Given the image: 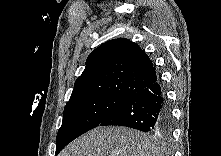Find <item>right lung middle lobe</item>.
<instances>
[{"mask_svg":"<svg viewBox=\"0 0 221 156\" xmlns=\"http://www.w3.org/2000/svg\"><path fill=\"white\" fill-rule=\"evenodd\" d=\"M127 99L99 94L69 100L64 108L62 126L57 133L56 155L73 139L99 126Z\"/></svg>","mask_w":221,"mask_h":156,"instance_id":"obj_1","label":"right lung middle lobe"}]
</instances>
